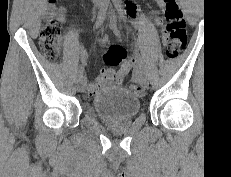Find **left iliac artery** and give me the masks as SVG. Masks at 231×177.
I'll list each match as a JSON object with an SVG mask.
<instances>
[{
    "label": "left iliac artery",
    "instance_id": "1",
    "mask_svg": "<svg viewBox=\"0 0 231 177\" xmlns=\"http://www.w3.org/2000/svg\"><path fill=\"white\" fill-rule=\"evenodd\" d=\"M115 3V8L118 11V14L120 15V18L123 21H126V12L123 10L122 6L120 5V3L118 1L114 2ZM135 57L138 60V67H139V71H146V66H145V62H143V59L141 58L138 48L134 49Z\"/></svg>",
    "mask_w": 231,
    "mask_h": 177
}]
</instances>
